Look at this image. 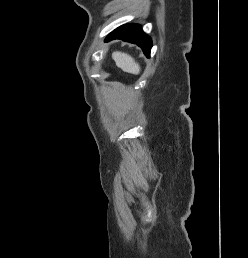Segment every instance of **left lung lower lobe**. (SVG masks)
Wrapping results in <instances>:
<instances>
[{"mask_svg": "<svg viewBox=\"0 0 248 258\" xmlns=\"http://www.w3.org/2000/svg\"><path fill=\"white\" fill-rule=\"evenodd\" d=\"M113 39H122L123 41L137 44L142 48L146 56H150L151 38L143 32L138 24H127L118 27L107 36L105 41L108 42Z\"/></svg>", "mask_w": 248, "mask_h": 258, "instance_id": "obj_1", "label": "left lung lower lobe"}]
</instances>
